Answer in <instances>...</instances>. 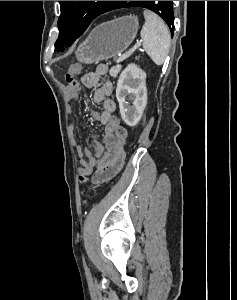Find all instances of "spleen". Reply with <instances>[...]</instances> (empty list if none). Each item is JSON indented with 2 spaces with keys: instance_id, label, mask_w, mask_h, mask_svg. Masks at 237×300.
Here are the masks:
<instances>
[{
  "instance_id": "1",
  "label": "spleen",
  "mask_w": 237,
  "mask_h": 300,
  "mask_svg": "<svg viewBox=\"0 0 237 300\" xmlns=\"http://www.w3.org/2000/svg\"><path fill=\"white\" fill-rule=\"evenodd\" d=\"M143 15L145 19L141 31L143 49L155 65H163L170 49V33L158 15L152 11H144Z\"/></svg>"
}]
</instances>
